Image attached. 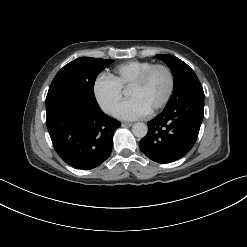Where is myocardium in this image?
<instances>
[{
	"label": "myocardium",
	"instance_id": "obj_1",
	"mask_svg": "<svg viewBox=\"0 0 247 247\" xmlns=\"http://www.w3.org/2000/svg\"><path fill=\"white\" fill-rule=\"evenodd\" d=\"M156 69H162L167 73L169 77V87L166 95L161 100V102L157 104L153 109H151L149 113H155L161 110L162 108H164L166 104L169 102L170 98L172 97L175 88V76L172 69L165 64H153L152 66L144 70L129 86V88L142 86L146 82L150 74Z\"/></svg>",
	"mask_w": 247,
	"mask_h": 247
}]
</instances>
